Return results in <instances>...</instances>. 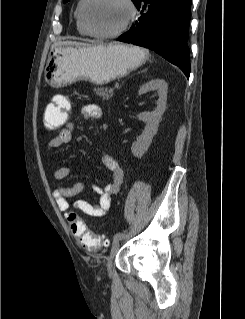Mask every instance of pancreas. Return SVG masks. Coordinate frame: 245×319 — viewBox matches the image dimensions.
Instances as JSON below:
<instances>
[{"instance_id":"cf45deb5","label":"pancreas","mask_w":245,"mask_h":319,"mask_svg":"<svg viewBox=\"0 0 245 319\" xmlns=\"http://www.w3.org/2000/svg\"><path fill=\"white\" fill-rule=\"evenodd\" d=\"M94 91L103 100H109L112 97V92L108 88H95Z\"/></svg>"}]
</instances>
